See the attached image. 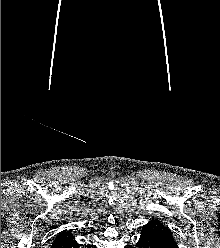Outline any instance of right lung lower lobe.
<instances>
[{"label": "right lung lower lobe", "mask_w": 220, "mask_h": 248, "mask_svg": "<svg viewBox=\"0 0 220 248\" xmlns=\"http://www.w3.org/2000/svg\"><path fill=\"white\" fill-rule=\"evenodd\" d=\"M52 248H79V245L74 240L73 236L64 239L52 246Z\"/></svg>", "instance_id": "obj_1"}]
</instances>
